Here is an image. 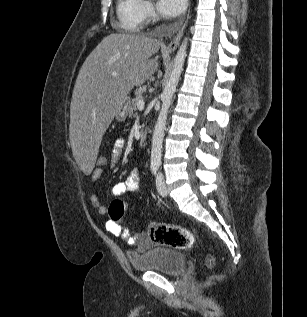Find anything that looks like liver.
I'll use <instances>...</instances> for the list:
<instances>
[{"label": "liver", "mask_w": 307, "mask_h": 317, "mask_svg": "<svg viewBox=\"0 0 307 317\" xmlns=\"http://www.w3.org/2000/svg\"><path fill=\"white\" fill-rule=\"evenodd\" d=\"M162 44L144 34L112 33L83 63L70 106V143L83 175H92L102 136L130 91L158 69ZM95 146V147H93Z\"/></svg>", "instance_id": "6515ba94"}]
</instances>
